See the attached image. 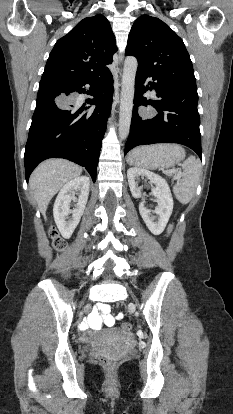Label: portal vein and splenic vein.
<instances>
[{"label": "portal vein and splenic vein", "instance_id": "1", "mask_svg": "<svg viewBox=\"0 0 233 414\" xmlns=\"http://www.w3.org/2000/svg\"><path fill=\"white\" fill-rule=\"evenodd\" d=\"M165 172L168 173V174L176 173V171H174V170H168V171H165Z\"/></svg>", "mask_w": 233, "mask_h": 414}]
</instances>
